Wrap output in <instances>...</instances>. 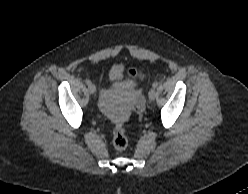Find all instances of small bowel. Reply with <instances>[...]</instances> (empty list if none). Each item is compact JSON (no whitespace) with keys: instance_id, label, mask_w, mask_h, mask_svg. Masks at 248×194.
Wrapping results in <instances>:
<instances>
[{"instance_id":"c3829d8e","label":"small bowel","mask_w":248,"mask_h":194,"mask_svg":"<svg viewBox=\"0 0 248 194\" xmlns=\"http://www.w3.org/2000/svg\"><path fill=\"white\" fill-rule=\"evenodd\" d=\"M129 76H136V72L132 69L126 71ZM124 75V67L121 63H117L111 70L110 77L113 80H120Z\"/></svg>"}]
</instances>
